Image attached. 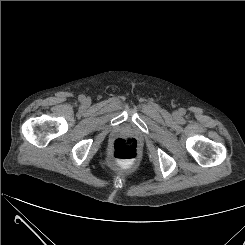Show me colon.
Segmentation results:
<instances>
[{"mask_svg": "<svg viewBox=\"0 0 245 245\" xmlns=\"http://www.w3.org/2000/svg\"><path fill=\"white\" fill-rule=\"evenodd\" d=\"M111 155L122 163H131L139 156V144L135 138H119L111 145Z\"/></svg>", "mask_w": 245, "mask_h": 245, "instance_id": "5ec220e1", "label": "colon"}]
</instances>
